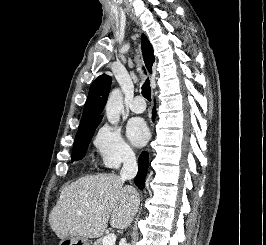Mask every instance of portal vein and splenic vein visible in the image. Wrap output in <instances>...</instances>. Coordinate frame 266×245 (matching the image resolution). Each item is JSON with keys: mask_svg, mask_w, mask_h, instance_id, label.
Wrapping results in <instances>:
<instances>
[{"mask_svg": "<svg viewBox=\"0 0 266 245\" xmlns=\"http://www.w3.org/2000/svg\"><path fill=\"white\" fill-rule=\"evenodd\" d=\"M116 239L117 237L114 235V233H111V235H106V237H103L102 239V245H115Z\"/></svg>", "mask_w": 266, "mask_h": 245, "instance_id": "1", "label": "portal vein and splenic vein"}]
</instances>
